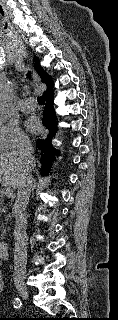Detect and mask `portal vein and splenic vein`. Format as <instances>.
<instances>
[{
	"label": "portal vein and splenic vein",
	"instance_id": "portal-vein-and-splenic-vein-1",
	"mask_svg": "<svg viewBox=\"0 0 118 320\" xmlns=\"http://www.w3.org/2000/svg\"><path fill=\"white\" fill-rule=\"evenodd\" d=\"M4 193L7 197H10V198L14 196V191L11 187H6Z\"/></svg>",
	"mask_w": 118,
	"mask_h": 320
}]
</instances>
